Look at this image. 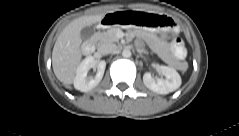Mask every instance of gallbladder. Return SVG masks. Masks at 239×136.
Listing matches in <instances>:
<instances>
[{
	"mask_svg": "<svg viewBox=\"0 0 239 136\" xmlns=\"http://www.w3.org/2000/svg\"><path fill=\"white\" fill-rule=\"evenodd\" d=\"M94 34V29L92 26H86L81 30V35L84 39H89Z\"/></svg>",
	"mask_w": 239,
	"mask_h": 136,
	"instance_id": "bac80fb5",
	"label": "gallbladder"
}]
</instances>
